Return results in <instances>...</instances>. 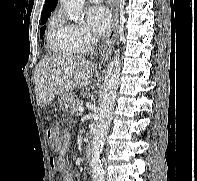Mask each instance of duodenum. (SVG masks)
<instances>
[{"mask_svg":"<svg viewBox=\"0 0 197 181\" xmlns=\"http://www.w3.org/2000/svg\"><path fill=\"white\" fill-rule=\"evenodd\" d=\"M91 154H92L91 146L90 145H87L85 147V155H86V158L87 159H90L91 158Z\"/></svg>","mask_w":197,"mask_h":181,"instance_id":"obj_1","label":"duodenum"}]
</instances>
